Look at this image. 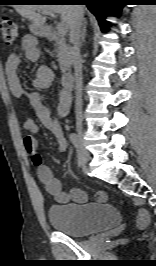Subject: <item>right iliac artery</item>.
Wrapping results in <instances>:
<instances>
[{
	"instance_id": "obj_1",
	"label": "right iliac artery",
	"mask_w": 156,
	"mask_h": 266,
	"mask_svg": "<svg viewBox=\"0 0 156 266\" xmlns=\"http://www.w3.org/2000/svg\"><path fill=\"white\" fill-rule=\"evenodd\" d=\"M69 138H70V141L72 142V144L74 145V147L76 148L77 164H78L79 167H81L82 166V159H81V150H80L79 137H78L77 134L71 133Z\"/></svg>"
}]
</instances>
